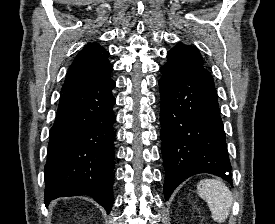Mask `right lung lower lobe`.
Here are the masks:
<instances>
[{
  "mask_svg": "<svg viewBox=\"0 0 275 224\" xmlns=\"http://www.w3.org/2000/svg\"><path fill=\"white\" fill-rule=\"evenodd\" d=\"M115 85L110 78L60 96L44 170L46 205L58 197L89 195L110 213Z\"/></svg>",
  "mask_w": 275,
  "mask_h": 224,
  "instance_id": "obj_1",
  "label": "right lung lower lobe"
}]
</instances>
